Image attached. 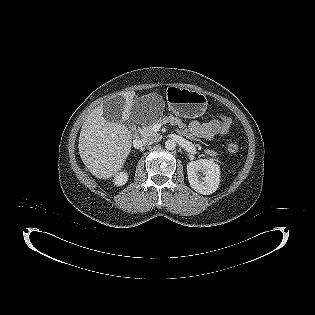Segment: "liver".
<instances>
[{
    "mask_svg": "<svg viewBox=\"0 0 315 315\" xmlns=\"http://www.w3.org/2000/svg\"><path fill=\"white\" fill-rule=\"evenodd\" d=\"M134 92H125L124 114L128 119ZM132 136L122 123L109 122L103 117V105L96 107L84 121L79 136V154L92 175L99 179L116 176L131 151Z\"/></svg>",
    "mask_w": 315,
    "mask_h": 315,
    "instance_id": "obj_1",
    "label": "liver"
}]
</instances>
